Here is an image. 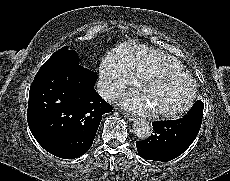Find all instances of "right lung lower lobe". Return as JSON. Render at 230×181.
<instances>
[{
  "mask_svg": "<svg viewBox=\"0 0 230 181\" xmlns=\"http://www.w3.org/2000/svg\"><path fill=\"white\" fill-rule=\"evenodd\" d=\"M97 75L79 64L38 72L30 87L27 120L49 153L74 159L92 146L102 115L112 111L94 89Z\"/></svg>",
  "mask_w": 230,
  "mask_h": 181,
  "instance_id": "1",
  "label": "right lung lower lobe"
}]
</instances>
